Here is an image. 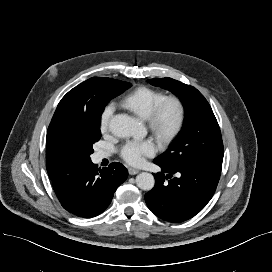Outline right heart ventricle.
Wrapping results in <instances>:
<instances>
[{
  "label": "right heart ventricle",
  "mask_w": 272,
  "mask_h": 272,
  "mask_svg": "<svg viewBox=\"0 0 272 272\" xmlns=\"http://www.w3.org/2000/svg\"><path fill=\"white\" fill-rule=\"evenodd\" d=\"M164 96V93L159 90L139 87L124 98L123 105L138 116L147 119L156 104Z\"/></svg>",
  "instance_id": "1"
}]
</instances>
